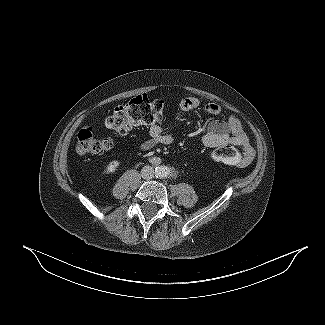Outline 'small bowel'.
<instances>
[{
    "label": "small bowel",
    "mask_w": 325,
    "mask_h": 325,
    "mask_svg": "<svg viewBox=\"0 0 325 325\" xmlns=\"http://www.w3.org/2000/svg\"><path fill=\"white\" fill-rule=\"evenodd\" d=\"M183 111H190L203 108L210 115H219L221 106L216 103H202L198 98L191 97L180 102ZM179 123H173L168 129L174 130ZM202 143L210 148L232 144L242 149L243 157L240 165H246L254 158V149L249 143L248 137L243 130L240 120L229 116L225 120H213L208 123L206 132L202 135ZM141 150H149L157 145H171L175 142L174 136L159 125H152L149 128V137L136 139Z\"/></svg>",
    "instance_id": "small-bowel-1"
}]
</instances>
